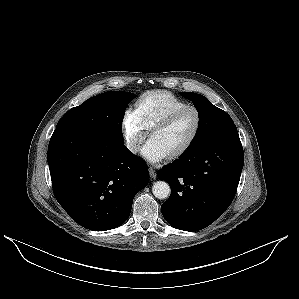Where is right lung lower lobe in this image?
I'll return each mask as SVG.
<instances>
[{
	"instance_id": "obj_1",
	"label": "right lung lower lobe",
	"mask_w": 299,
	"mask_h": 299,
	"mask_svg": "<svg viewBox=\"0 0 299 299\" xmlns=\"http://www.w3.org/2000/svg\"><path fill=\"white\" fill-rule=\"evenodd\" d=\"M47 161L54 195L81 226L105 231L129 217L135 194L149 181L147 165L123 141L56 129Z\"/></svg>"
}]
</instances>
